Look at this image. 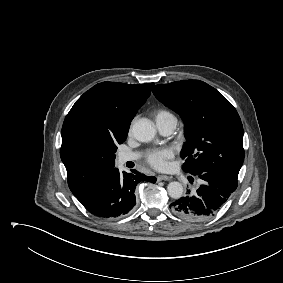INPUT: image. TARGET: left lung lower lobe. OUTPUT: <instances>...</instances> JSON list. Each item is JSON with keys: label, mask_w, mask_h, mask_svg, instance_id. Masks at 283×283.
I'll return each mask as SVG.
<instances>
[{"label": "left lung lower lobe", "mask_w": 283, "mask_h": 283, "mask_svg": "<svg viewBox=\"0 0 283 283\" xmlns=\"http://www.w3.org/2000/svg\"><path fill=\"white\" fill-rule=\"evenodd\" d=\"M195 176L200 184L198 188L193 192L189 190L186 196L171 203L170 209L181 219L204 221L214 216L236 190L237 179L214 172Z\"/></svg>", "instance_id": "1"}]
</instances>
